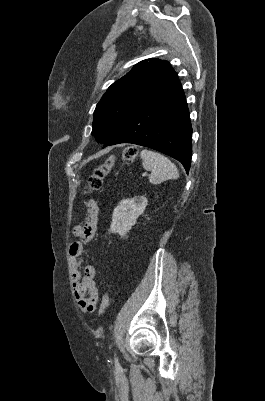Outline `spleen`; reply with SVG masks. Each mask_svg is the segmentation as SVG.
Instances as JSON below:
<instances>
[{"mask_svg":"<svg viewBox=\"0 0 265 401\" xmlns=\"http://www.w3.org/2000/svg\"><path fill=\"white\" fill-rule=\"evenodd\" d=\"M140 156L143 160V168L146 170H151L149 176V182L151 184H160L163 180H168V178H178L179 172L175 164L163 156L160 152H153V150H141Z\"/></svg>","mask_w":265,"mask_h":401,"instance_id":"3e777b00","label":"spleen"}]
</instances>
